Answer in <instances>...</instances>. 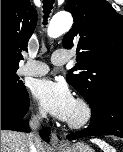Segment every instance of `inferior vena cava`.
I'll use <instances>...</instances> for the list:
<instances>
[{"instance_id": "1", "label": "inferior vena cava", "mask_w": 123, "mask_h": 152, "mask_svg": "<svg viewBox=\"0 0 123 152\" xmlns=\"http://www.w3.org/2000/svg\"><path fill=\"white\" fill-rule=\"evenodd\" d=\"M46 116L45 112H40V114L31 117L29 121V125L33 130L32 133L27 134L28 137V144H29V152H37L36 150V143L41 142V139L38 135L37 130L40 127V120Z\"/></svg>"}]
</instances>
